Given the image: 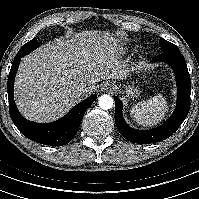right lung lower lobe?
Returning a JSON list of instances; mask_svg holds the SVG:
<instances>
[{"label": "right lung lower lobe", "mask_w": 199, "mask_h": 199, "mask_svg": "<svg viewBox=\"0 0 199 199\" xmlns=\"http://www.w3.org/2000/svg\"><path fill=\"white\" fill-rule=\"evenodd\" d=\"M25 55L26 53L24 52L17 53L8 77L7 91L11 119L17 128L34 142L52 146L65 145L76 135L84 113L97 97L91 95L86 100L77 104L66 116L56 122L41 124L28 121L19 113L13 98L14 79L20 59Z\"/></svg>", "instance_id": "obj_1"}]
</instances>
